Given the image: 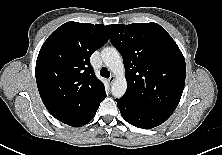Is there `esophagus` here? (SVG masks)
I'll use <instances>...</instances> for the list:
<instances>
[{"mask_svg": "<svg viewBox=\"0 0 222 155\" xmlns=\"http://www.w3.org/2000/svg\"><path fill=\"white\" fill-rule=\"evenodd\" d=\"M114 80H115V76H114V75H112V76L108 79V81H109L110 83H112Z\"/></svg>", "mask_w": 222, "mask_h": 155, "instance_id": "esophagus-1", "label": "esophagus"}]
</instances>
